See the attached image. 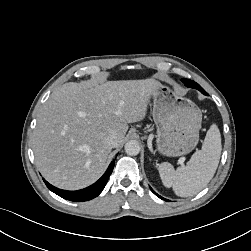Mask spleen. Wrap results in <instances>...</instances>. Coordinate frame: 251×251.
<instances>
[{"instance_id": "3e777b00", "label": "spleen", "mask_w": 251, "mask_h": 251, "mask_svg": "<svg viewBox=\"0 0 251 251\" xmlns=\"http://www.w3.org/2000/svg\"><path fill=\"white\" fill-rule=\"evenodd\" d=\"M221 135L216 124H212L206 133L202 149L196 151L186 166L174 169L164 162L158 166L159 174L166 187H172L180 197L197 194L213 178L221 155Z\"/></svg>"}]
</instances>
